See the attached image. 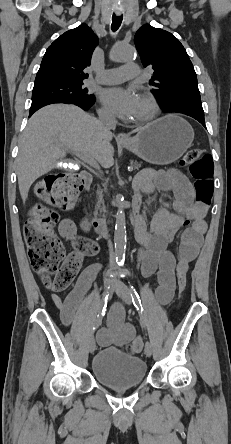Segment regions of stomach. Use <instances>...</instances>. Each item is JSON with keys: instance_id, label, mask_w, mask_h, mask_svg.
<instances>
[{"instance_id": "stomach-1", "label": "stomach", "mask_w": 231, "mask_h": 444, "mask_svg": "<svg viewBox=\"0 0 231 444\" xmlns=\"http://www.w3.org/2000/svg\"><path fill=\"white\" fill-rule=\"evenodd\" d=\"M193 140L191 125L183 118L169 114L143 127L122 146L147 162L166 165L179 159Z\"/></svg>"}]
</instances>
